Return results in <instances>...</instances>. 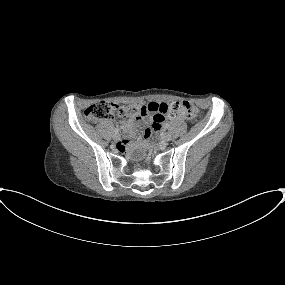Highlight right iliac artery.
Here are the masks:
<instances>
[{
  "mask_svg": "<svg viewBox=\"0 0 285 285\" xmlns=\"http://www.w3.org/2000/svg\"><path fill=\"white\" fill-rule=\"evenodd\" d=\"M114 132H115V133H118V132H119V129H118V128H115Z\"/></svg>",
  "mask_w": 285,
  "mask_h": 285,
  "instance_id": "82829eb1",
  "label": "right iliac artery"
}]
</instances>
